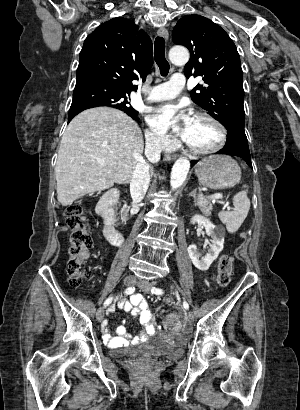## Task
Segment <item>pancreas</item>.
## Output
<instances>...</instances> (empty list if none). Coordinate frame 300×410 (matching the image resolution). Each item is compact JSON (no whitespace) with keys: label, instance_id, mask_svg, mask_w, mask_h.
Wrapping results in <instances>:
<instances>
[{"label":"pancreas","instance_id":"1","mask_svg":"<svg viewBox=\"0 0 300 410\" xmlns=\"http://www.w3.org/2000/svg\"><path fill=\"white\" fill-rule=\"evenodd\" d=\"M198 206L200 210L206 215L210 216L211 215V210H212V205L210 204L207 199L204 198H199L198 200Z\"/></svg>","mask_w":300,"mask_h":410}]
</instances>
